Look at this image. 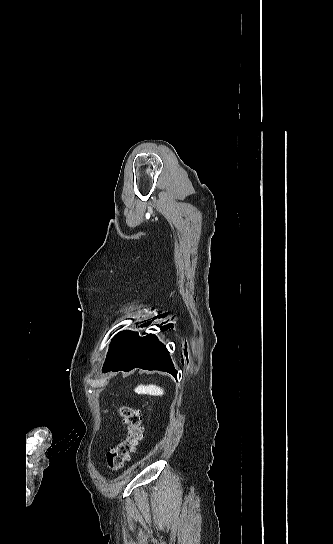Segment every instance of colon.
Instances as JSON below:
<instances>
[{"label":"colon","mask_w":333,"mask_h":544,"mask_svg":"<svg viewBox=\"0 0 333 544\" xmlns=\"http://www.w3.org/2000/svg\"><path fill=\"white\" fill-rule=\"evenodd\" d=\"M119 414L126 424L127 436L106 453L107 466L113 472L121 470L126 465L131 454L137 450L143 436L142 418L137 409L123 405L119 408Z\"/></svg>","instance_id":"5ec220e1"}]
</instances>
